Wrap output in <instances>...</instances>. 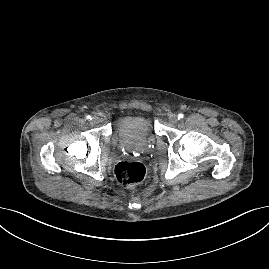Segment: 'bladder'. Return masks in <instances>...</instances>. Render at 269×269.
I'll list each match as a JSON object with an SVG mask.
<instances>
[{"mask_svg": "<svg viewBox=\"0 0 269 269\" xmlns=\"http://www.w3.org/2000/svg\"><path fill=\"white\" fill-rule=\"evenodd\" d=\"M115 135L126 144H147L153 136V125L145 115H130L119 118Z\"/></svg>", "mask_w": 269, "mask_h": 269, "instance_id": "bladder-1", "label": "bladder"}]
</instances>
